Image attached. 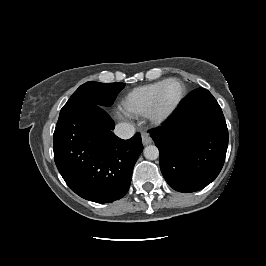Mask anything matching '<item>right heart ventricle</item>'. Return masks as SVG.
Instances as JSON below:
<instances>
[{
  "label": "right heart ventricle",
  "instance_id": "e07e8e85",
  "mask_svg": "<svg viewBox=\"0 0 266 266\" xmlns=\"http://www.w3.org/2000/svg\"><path fill=\"white\" fill-rule=\"evenodd\" d=\"M164 81L134 88L122 100L124 110L134 116H147L153 99Z\"/></svg>",
  "mask_w": 266,
  "mask_h": 266
}]
</instances>
